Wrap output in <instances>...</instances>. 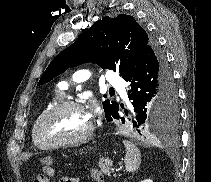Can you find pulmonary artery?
<instances>
[{
  "instance_id": "pulmonary-artery-1",
  "label": "pulmonary artery",
  "mask_w": 211,
  "mask_h": 182,
  "mask_svg": "<svg viewBox=\"0 0 211 182\" xmlns=\"http://www.w3.org/2000/svg\"><path fill=\"white\" fill-rule=\"evenodd\" d=\"M88 73H89V71L84 69V70L78 71L76 73V76H78L81 79H85L87 77ZM106 79L110 84L117 86L119 88L121 95L124 98H126V91H125L124 85L122 84L121 78L117 74L109 72L106 74ZM59 88L61 90H66L68 88L67 82L61 83L59 85Z\"/></svg>"
}]
</instances>
